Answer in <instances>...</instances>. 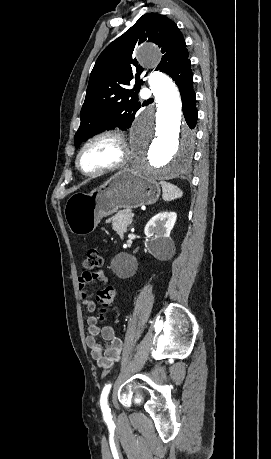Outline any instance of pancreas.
Listing matches in <instances>:
<instances>
[{
  "label": "pancreas",
  "mask_w": 271,
  "mask_h": 459,
  "mask_svg": "<svg viewBox=\"0 0 271 459\" xmlns=\"http://www.w3.org/2000/svg\"><path fill=\"white\" fill-rule=\"evenodd\" d=\"M129 212L131 210H120L111 218L113 229H115L116 233H119L120 237H124L129 224H132L133 217H128Z\"/></svg>",
  "instance_id": "obj_1"
}]
</instances>
